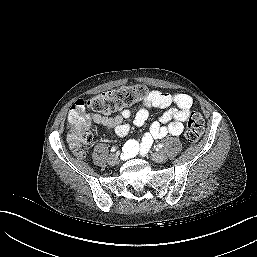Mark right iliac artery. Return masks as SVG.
Returning <instances> with one entry per match:
<instances>
[{"label":"right iliac artery","mask_w":257,"mask_h":257,"mask_svg":"<svg viewBox=\"0 0 257 257\" xmlns=\"http://www.w3.org/2000/svg\"><path fill=\"white\" fill-rule=\"evenodd\" d=\"M116 150H117L116 147H112V148H111V151H112V152H115Z\"/></svg>","instance_id":"1"}]
</instances>
